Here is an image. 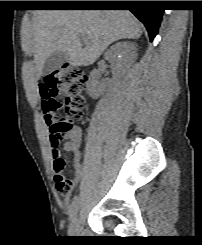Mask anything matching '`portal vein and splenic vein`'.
Segmentation results:
<instances>
[{
    "label": "portal vein and splenic vein",
    "instance_id": "obj_1",
    "mask_svg": "<svg viewBox=\"0 0 202 245\" xmlns=\"http://www.w3.org/2000/svg\"><path fill=\"white\" fill-rule=\"evenodd\" d=\"M81 36H82V39L85 41V35H84V34H82Z\"/></svg>",
    "mask_w": 202,
    "mask_h": 245
}]
</instances>
